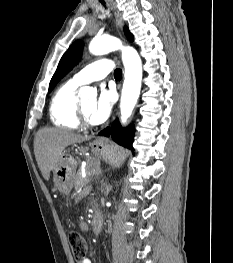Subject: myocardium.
Here are the masks:
<instances>
[{"mask_svg":"<svg viewBox=\"0 0 233 263\" xmlns=\"http://www.w3.org/2000/svg\"><path fill=\"white\" fill-rule=\"evenodd\" d=\"M78 116H79L80 124L83 127H91L92 126V123L90 122L89 118L85 114L81 104H79V106H78Z\"/></svg>","mask_w":233,"mask_h":263,"instance_id":"obj_1","label":"myocardium"}]
</instances>
